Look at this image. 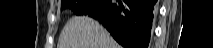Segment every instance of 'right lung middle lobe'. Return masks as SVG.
<instances>
[{
  "label": "right lung middle lobe",
  "instance_id": "dd1d6c3e",
  "mask_svg": "<svg viewBox=\"0 0 213 48\" xmlns=\"http://www.w3.org/2000/svg\"><path fill=\"white\" fill-rule=\"evenodd\" d=\"M94 1L95 0H65L62 1L61 10L69 8L77 15L85 14Z\"/></svg>",
  "mask_w": 213,
  "mask_h": 48
}]
</instances>
